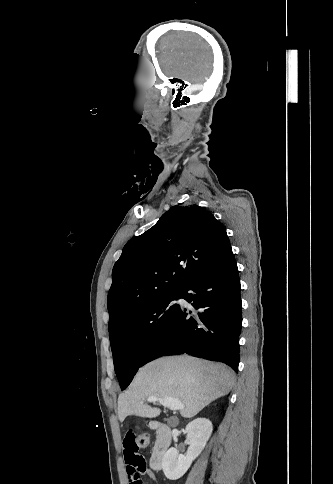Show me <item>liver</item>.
<instances>
[{
	"instance_id": "liver-1",
	"label": "liver",
	"mask_w": 333,
	"mask_h": 484,
	"mask_svg": "<svg viewBox=\"0 0 333 484\" xmlns=\"http://www.w3.org/2000/svg\"><path fill=\"white\" fill-rule=\"evenodd\" d=\"M234 373L223 364L191 356L159 358L140 368L129 388L118 397V417L129 415L155 418L159 408L141 403L150 396L171 397L184 405V418L197 415L212 401L227 395L234 385Z\"/></svg>"
}]
</instances>
